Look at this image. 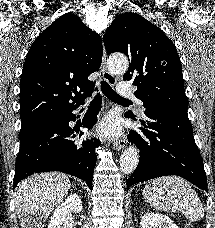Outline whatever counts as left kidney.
Listing matches in <instances>:
<instances>
[{
    "instance_id": "1",
    "label": "left kidney",
    "mask_w": 215,
    "mask_h": 228,
    "mask_svg": "<svg viewBox=\"0 0 215 228\" xmlns=\"http://www.w3.org/2000/svg\"><path fill=\"white\" fill-rule=\"evenodd\" d=\"M140 228H178L168 216L163 214H145L140 222Z\"/></svg>"
}]
</instances>
